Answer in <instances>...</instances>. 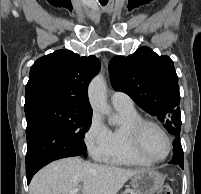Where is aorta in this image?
<instances>
[{
    "instance_id": "aorta-1",
    "label": "aorta",
    "mask_w": 201,
    "mask_h": 194,
    "mask_svg": "<svg viewBox=\"0 0 201 194\" xmlns=\"http://www.w3.org/2000/svg\"><path fill=\"white\" fill-rule=\"evenodd\" d=\"M88 95L93 110L108 115L111 119V109L106 99V83L101 74L94 77L91 81Z\"/></svg>"
}]
</instances>
